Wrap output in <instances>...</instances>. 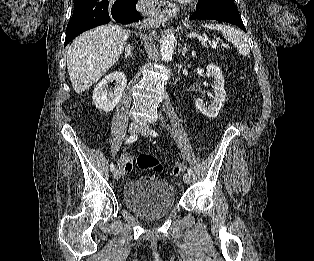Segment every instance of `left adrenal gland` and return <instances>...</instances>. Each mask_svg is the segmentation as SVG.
Here are the masks:
<instances>
[{"instance_id": "a2214340", "label": "left adrenal gland", "mask_w": 314, "mask_h": 261, "mask_svg": "<svg viewBox=\"0 0 314 261\" xmlns=\"http://www.w3.org/2000/svg\"><path fill=\"white\" fill-rule=\"evenodd\" d=\"M186 53H187V46L185 44L184 47H183V50H182V56L185 57Z\"/></svg>"}]
</instances>
